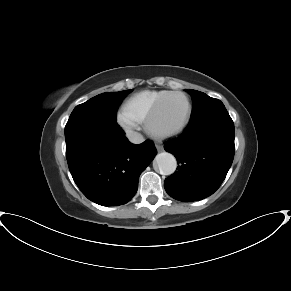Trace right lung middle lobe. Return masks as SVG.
I'll return each mask as SVG.
<instances>
[{"label": "right lung middle lobe", "instance_id": "1", "mask_svg": "<svg viewBox=\"0 0 291 291\" xmlns=\"http://www.w3.org/2000/svg\"><path fill=\"white\" fill-rule=\"evenodd\" d=\"M132 90L99 94L74 108L69 119L84 116L116 121V111L122 99Z\"/></svg>", "mask_w": 291, "mask_h": 291}]
</instances>
